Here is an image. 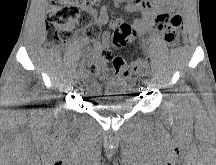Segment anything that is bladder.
Instances as JSON below:
<instances>
[{"label": "bladder", "instance_id": "obj_1", "mask_svg": "<svg viewBox=\"0 0 216 165\" xmlns=\"http://www.w3.org/2000/svg\"><path fill=\"white\" fill-rule=\"evenodd\" d=\"M131 81L122 76L84 77V90L88 100L92 101L94 111H122L135 104V98L129 94Z\"/></svg>", "mask_w": 216, "mask_h": 165}]
</instances>
